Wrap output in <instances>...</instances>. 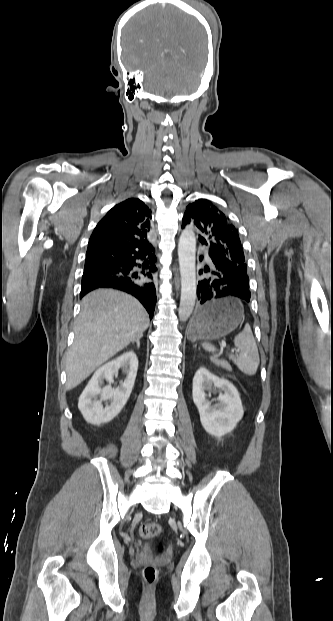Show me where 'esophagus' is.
Returning <instances> with one entry per match:
<instances>
[{"label": "esophagus", "mask_w": 333, "mask_h": 621, "mask_svg": "<svg viewBox=\"0 0 333 621\" xmlns=\"http://www.w3.org/2000/svg\"><path fill=\"white\" fill-rule=\"evenodd\" d=\"M176 286L178 287V278H176Z\"/></svg>", "instance_id": "34e87169"}]
</instances>
